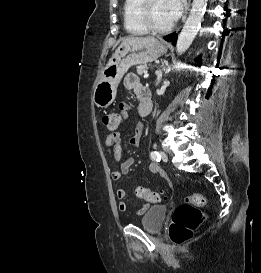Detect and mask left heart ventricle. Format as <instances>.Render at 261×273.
Listing matches in <instances>:
<instances>
[{
  "mask_svg": "<svg viewBox=\"0 0 261 273\" xmlns=\"http://www.w3.org/2000/svg\"><path fill=\"white\" fill-rule=\"evenodd\" d=\"M151 14L154 23L159 26H165L174 21L168 0H153Z\"/></svg>",
  "mask_w": 261,
  "mask_h": 273,
  "instance_id": "1",
  "label": "left heart ventricle"
}]
</instances>
